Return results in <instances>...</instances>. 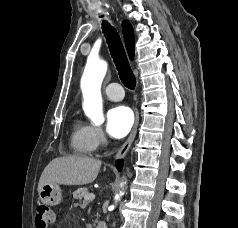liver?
<instances>
[{"label":"liver","instance_id":"6515ba94","mask_svg":"<svg viewBox=\"0 0 238 228\" xmlns=\"http://www.w3.org/2000/svg\"><path fill=\"white\" fill-rule=\"evenodd\" d=\"M101 161L72 155L53 159L44 169L38 183V192L46 183L86 185L92 183L99 172Z\"/></svg>","mask_w":238,"mask_h":228}]
</instances>
